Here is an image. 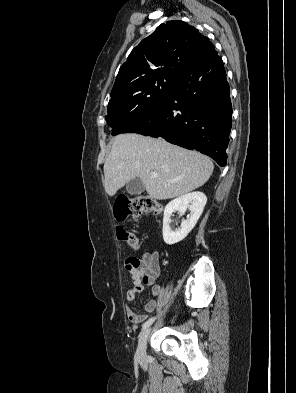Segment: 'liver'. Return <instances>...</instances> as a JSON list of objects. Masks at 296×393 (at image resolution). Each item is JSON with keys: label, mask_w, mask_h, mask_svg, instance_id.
I'll use <instances>...</instances> for the list:
<instances>
[{"label": "liver", "mask_w": 296, "mask_h": 393, "mask_svg": "<svg viewBox=\"0 0 296 393\" xmlns=\"http://www.w3.org/2000/svg\"><path fill=\"white\" fill-rule=\"evenodd\" d=\"M213 169L205 155L162 138L120 134L114 138L104 163V187L109 196H114L130 180L139 178L151 198L166 200L204 185ZM152 172L158 176L153 178Z\"/></svg>", "instance_id": "obj_1"}]
</instances>
